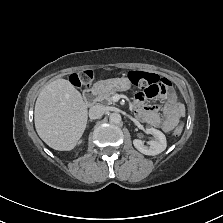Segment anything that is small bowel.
Here are the masks:
<instances>
[{
	"instance_id": "c3829d8e",
	"label": "small bowel",
	"mask_w": 223,
	"mask_h": 223,
	"mask_svg": "<svg viewBox=\"0 0 223 223\" xmlns=\"http://www.w3.org/2000/svg\"><path fill=\"white\" fill-rule=\"evenodd\" d=\"M164 79V78H163ZM166 82L165 89L157 94H153L150 89L138 92L134 97V109L138 117L150 125L157 126L165 132L171 131L177 124L179 118L185 114L184 106L177 102L176 94L171 87V83ZM159 97L164 99L162 115L158 106L149 105L145 101L147 98Z\"/></svg>"
}]
</instances>
